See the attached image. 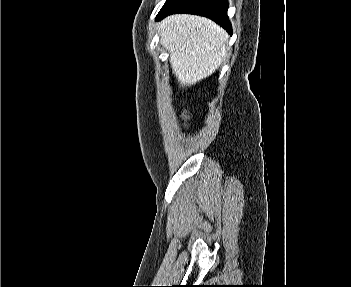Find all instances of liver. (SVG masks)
<instances>
[{
	"label": "liver",
	"mask_w": 351,
	"mask_h": 287,
	"mask_svg": "<svg viewBox=\"0 0 351 287\" xmlns=\"http://www.w3.org/2000/svg\"><path fill=\"white\" fill-rule=\"evenodd\" d=\"M160 42L169 51L173 74L182 87L210 76L226 56L228 33L213 21L175 14L159 24Z\"/></svg>",
	"instance_id": "obj_1"
}]
</instances>
